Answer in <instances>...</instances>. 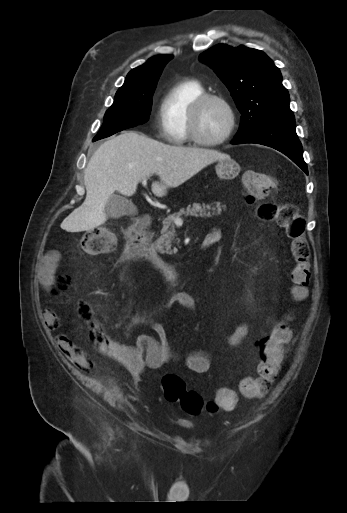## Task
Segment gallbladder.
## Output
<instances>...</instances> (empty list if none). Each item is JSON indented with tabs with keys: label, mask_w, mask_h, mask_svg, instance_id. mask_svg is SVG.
Segmentation results:
<instances>
[{
	"label": "gallbladder",
	"mask_w": 347,
	"mask_h": 513,
	"mask_svg": "<svg viewBox=\"0 0 347 513\" xmlns=\"http://www.w3.org/2000/svg\"><path fill=\"white\" fill-rule=\"evenodd\" d=\"M105 212L108 217L118 219L125 215L136 214L137 209L131 201L123 196L112 195L105 205Z\"/></svg>",
	"instance_id": "gallbladder-1"
}]
</instances>
